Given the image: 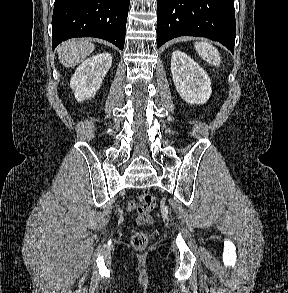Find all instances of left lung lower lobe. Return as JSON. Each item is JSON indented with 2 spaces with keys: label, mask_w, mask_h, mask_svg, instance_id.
Wrapping results in <instances>:
<instances>
[{
  "label": "left lung lower lobe",
  "mask_w": 288,
  "mask_h": 293,
  "mask_svg": "<svg viewBox=\"0 0 288 293\" xmlns=\"http://www.w3.org/2000/svg\"><path fill=\"white\" fill-rule=\"evenodd\" d=\"M157 46L179 36L219 41L234 53V0H157Z\"/></svg>",
  "instance_id": "0a47b994"
}]
</instances>
